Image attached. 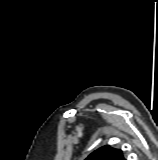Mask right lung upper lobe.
Returning a JSON list of instances; mask_svg holds the SVG:
<instances>
[{
	"label": "right lung upper lobe",
	"mask_w": 158,
	"mask_h": 160,
	"mask_svg": "<svg viewBox=\"0 0 158 160\" xmlns=\"http://www.w3.org/2000/svg\"><path fill=\"white\" fill-rule=\"evenodd\" d=\"M85 160H125L122 151L110 146H103L92 152Z\"/></svg>",
	"instance_id": "right-lung-upper-lobe-1"
}]
</instances>
